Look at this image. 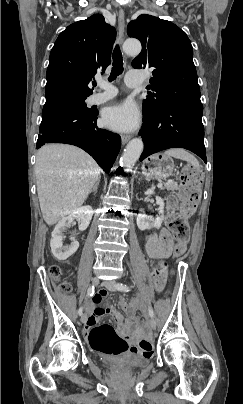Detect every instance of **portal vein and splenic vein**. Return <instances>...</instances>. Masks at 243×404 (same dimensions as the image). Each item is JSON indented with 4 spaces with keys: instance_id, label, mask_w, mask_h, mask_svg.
Segmentation results:
<instances>
[{
    "instance_id": "1",
    "label": "portal vein and splenic vein",
    "mask_w": 243,
    "mask_h": 404,
    "mask_svg": "<svg viewBox=\"0 0 243 404\" xmlns=\"http://www.w3.org/2000/svg\"><path fill=\"white\" fill-rule=\"evenodd\" d=\"M162 186H163L162 182H159L157 188H162Z\"/></svg>"
}]
</instances>
